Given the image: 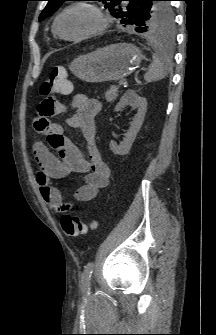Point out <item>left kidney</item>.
<instances>
[{
  "label": "left kidney",
  "mask_w": 216,
  "mask_h": 335,
  "mask_svg": "<svg viewBox=\"0 0 216 335\" xmlns=\"http://www.w3.org/2000/svg\"><path fill=\"white\" fill-rule=\"evenodd\" d=\"M131 105L134 108H138L137 114L133 118L130 124V128L125 134L124 140L117 144L114 141H110V150L117 155H126L139 132L141 125L144 121V117L147 110V100L140 97L134 90H128L120 99L119 103L115 107V112L122 110L125 106Z\"/></svg>",
  "instance_id": "1"
}]
</instances>
